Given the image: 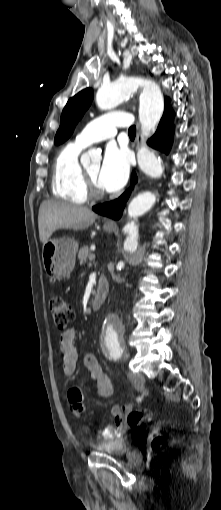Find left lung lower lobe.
I'll list each match as a JSON object with an SVG mask.
<instances>
[{
  "label": "left lung lower lobe",
  "instance_id": "obj_1",
  "mask_svg": "<svg viewBox=\"0 0 221 510\" xmlns=\"http://www.w3.org/2000/svg\"><path fill=\"white\" fill-rule=\"evenodd\" d=\"M174 112L171 107L165 108L163 116L160 120L156 133L148 140V145L158 149L166 154L169 153L174 134L173 125ZM137 181L136 174L133 172L131 176V185ZM131 188L124 192L118 199L108 203L94 206L92 209L101 215L119 219L122 215L125 203L129 198Z\"/></svg>",
  "mask_w": 221,
  "mask_h": 510
}]
</instances>
